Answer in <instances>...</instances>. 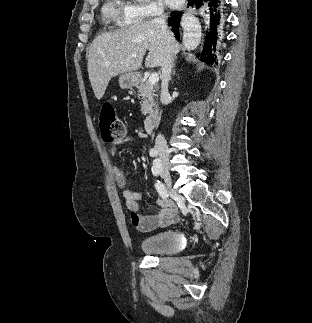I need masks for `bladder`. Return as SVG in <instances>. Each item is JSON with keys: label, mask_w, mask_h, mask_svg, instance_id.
Listing matches in <instances>:
<instances>
[{"label": "bladder", "mask_w": 312, "mask_h": 323, "mask_svg": "<svg viewBox=\"0 0 312 323\" xmlns=\"http://www.w3.org/2000/svg\"><path fill=\"white\" fill-rule=\"evenodd\" d=\"M147 255H162L179 250L178 236L171 231H160L151 237L143 238L140 243Z\"/></svg>", "instance_id": "obj_1"}]
</instances>
